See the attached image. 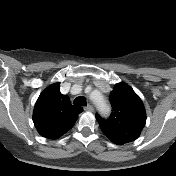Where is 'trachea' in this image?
<instances>
[{"instance_id":"obj_1","label":"trachea","mask_w":176,"mask_h":176,"mask_svg":"<svg viewBox=\"0 0 176 176\" xmlns=\"http://www.w3.org/2000/svg\"><path fill=\"white\" fill-rule=\"evenodd\" d=\"M73 104L80 105V106H86L87 102H86L85 97L79 96V97L74 99Z\"/></svg>"}]
</instances>
